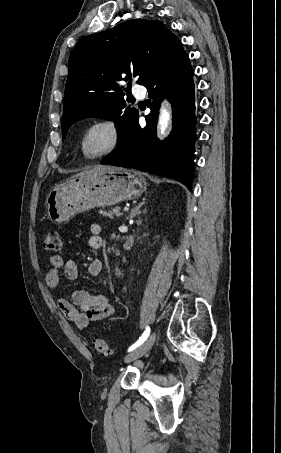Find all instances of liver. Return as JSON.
I'll use <instances>...</instances> for the list:
<instances>
[{"instance_id":"1","label":"liver","mask_w":281,"mask_h":453,"mask_svg":"<svg viewBox=\"0 0 281 453\" xmlns=\"http://www.w3.org/2000/svg\"><path fill=\"white\" fill-rule=\"evenodd\" d=\"M114 166H105V164H99V166H94V168H91V170H82V172H77V174H73V176H70V178H77V176H80V178H84V176H89V174H94V172H102V170H112Z\"/></svg>"}]
</instances>
